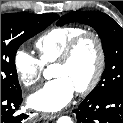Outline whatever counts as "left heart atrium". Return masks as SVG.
<instances>
[{
  "mask_svg": "<svg viewBox=\"0 0 123 123\" xmlns=\"http://www.w3.org/2000/svg\"><path fill=\"white\" fill-rule=\"evenodd\" d=\"M74 91V86L67 78L57 77L31 94L28 103L36 110L55 112L71 101Z\"/></svg>",
  "mask_w": 123,
  "mask_h": 123,
  "instance_id": "obj_1",
  "label": "left heart atrium"
}]
</instances>
